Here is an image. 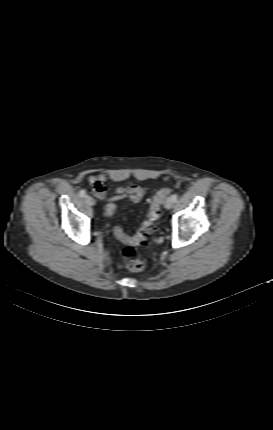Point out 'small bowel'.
<instances>
[{
  "label": "small bowel",
  "instance_id": "1",
  "mask_svg": "<svg viewBox=\"0 0 273 430\" xmlns=\"http://www.w3.org/2000/svg\"><path fill=\"white\" fill-rule=\"evenodd\" d=\"M107 176L105 173L89 176V182L92 185L95 196L101 201L108 202V205L127 198L133 203L140 202L146 195L145 187L130 184L124 188H117L112 195H109L105 182ZM107 205V206H108Z\"/></svg>",
  "mask_w": 273,
  "mask_h": 430
}]
</instances>
